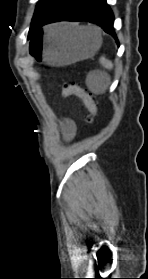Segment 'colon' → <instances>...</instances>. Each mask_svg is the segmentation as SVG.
<instances>
[{
  "mask_svg": "<svg viewBox=\"0 0 148 279\" xmlns=\"http://www.w3.org/2000/svg\"><path fill=\"white\" fill-rule=\"evenodd\" d=\"M62 94L64 96L74 95L78 97L87 107L89 115L87 116V121L92 123L98 115V103L90 92H88L79 83H65L62 86Z\"/></svg>",
  "mask_w": 148,
  "mask_h": 279,
  "instance_id": "5ec220e1",
  "label": "colon"
}]
</instances>
